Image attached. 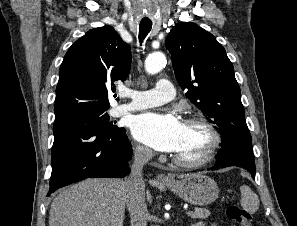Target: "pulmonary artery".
<instances>
[{
    "label": "pulmonary artery",
    "mask_w": 297,
    "mask_h": 226,
    "mask_svg": "<svg viewBox=\"0 0 297 226\" xmlns=\"http://www.w3.org/2000/svg\"><path fill=\"white\" fill-rule=\"evenodd\" d=\"M122 96L131 98L128 104L119 105L114 109V115L155 107L170 102L175 97V89L167 79H160L154 89L147 91H128Z\"/></svg>",
    "instance_id": "e3ab8cb5"
}]
</instances>
